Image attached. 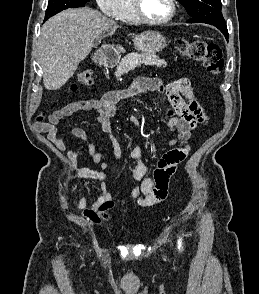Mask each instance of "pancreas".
<instances>
[{
    "instance_id": "1",
    "label": "pancreas",
    "mask_w": 259,
    "mask_h": 294,
    "mask_svg": "<svg viewBox=\"0 0 259 294\" xmlns=\"http://www.w3.org/2000/svg\"><path fill=\"white\" fill-rule=\"evenodd\" d=\"M142 64L151 66L155 65L157 67H165L167 65L164 59H160L155 54L130 53L126 55L117 66L116 75H123L124 73L134 70Z\"/></svg>"
}]
</instances>
